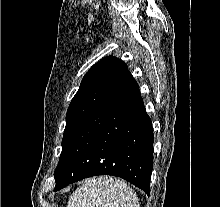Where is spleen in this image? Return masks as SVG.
Returning <instances> with one entry per match:
<instances>
[{
  "label": "spleen",
  "mask_w": 220,
  "mask_h": 207,
  "mask_svg": "<svg viewBox=\"0 0 220 207\" xmlns=\"http://www.w3.org/2000/svg\"><path fill=\"white\" fill-rule=\"evenodd\" d=\"M67 207H140L134 190L120 179L101 176L86 180L70 196Z\"/></svg>",
  "instance_id": "spleen-1"
}]
</instances>
